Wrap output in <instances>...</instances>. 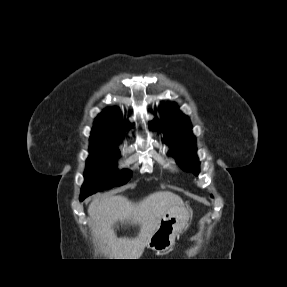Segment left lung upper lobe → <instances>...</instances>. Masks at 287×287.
I'll return each instance as SVG.
<instances>
[{
  "label": "left lung upper lobe",
  "mask_w": 287,
  "mask_h": 287,
  "mask_svg": "<svg viewBox=\"0 0 287 287\" xmlns=\"http://www.w3.org/2000/svg\"><path fill=\"white\" fill-rule=\"evenodd\" d=\"M151 129L163 131L164 141L170 145V154L184 169L199 173L200 162L196 156V139L191 131L189 118L178 110L175 103L171 104L164 119H154L149 123Z\"/></svg>",
  "instance_id": "1"
}]
</instances>
